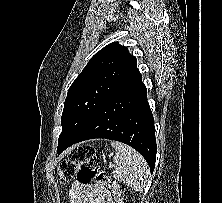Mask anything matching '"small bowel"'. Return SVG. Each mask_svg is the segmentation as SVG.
Here are the masks:
<instances>
[{"label": "small bowel", "mask_w": 222, "mask_h": 203, "mask_svg": "<svg viewBox=\"0 0 222 203\" xmlns=\"http://www.w3.org/2000/svg\"><path fill=\"white\" fill-rule=\"evenodd\" d=\"M79 203H112L110 193L100 185L77 182L73 187Z\"/></svg>", "instance_id": "obj_1"}]
</instances>
